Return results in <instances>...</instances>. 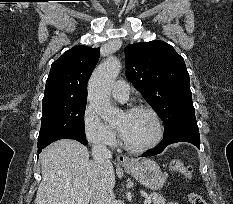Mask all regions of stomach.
<instances>
[{
    "instance_id": "obj_1",
    "label": "stomach",
    "mask_w": 233,
    "mask_h": 204,
    "mask_svg": "<svg viewBox=\"0 0 233 204\" xmlns=\"http://www.w3.org/2000/svg\"><path fill=\"white\" fill-rule=\"evenodd\" d=\"M124 169L139 183L154 191L161 189L166 181V174L150 159L136 161L130 166H124Z\"/></svg>"
}]
</instances>
